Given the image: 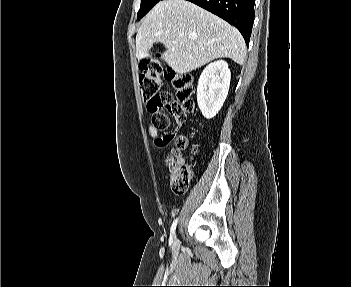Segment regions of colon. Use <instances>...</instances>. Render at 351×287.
Here are the masks:
<instances>
[{
	"label": "colon",
	"mask_w": 351,
	"mask_h": 287,
	"mask_svg": "<svg viewBox=\"0 0 351 287\" xmlns=\"http://www.w3.org/2000/svg\"><path fill=\"white\" fill-rule=\"evenodd\" d=\"M164 74H167L175 89L176 101L173 104H170L172 100L170 93H160ZM139 89L147 109L153 114L152 126L158 131L168 127L167 111L184 118L186 113L192 112L195 108L193 76L187 72L166 71L159 58H148L141 62ZM187 148V140L179 137L176 140V148L165 159V165L170 171L172 190L178 194L188 190L194 176L191 165L181 155V151Z\"/></svg>",
	"instance_id": "5ec220e1"
}]
</instances>
